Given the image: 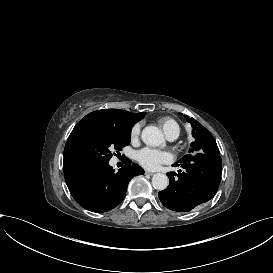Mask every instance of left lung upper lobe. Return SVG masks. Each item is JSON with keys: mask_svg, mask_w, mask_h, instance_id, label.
<instances>
[{"mask_svg": "<svg viewBox=\"0 0 273 273\" xmlns=\"http://www.w3.org/2000/svg\"><path fill=\"white\" fill-rule=\"evenodd\" d=\"M187 121L192 125V135L195 141L191 143V153L185 155L182 159L197 153L219 155V149L212 134L194 118L187 116Z\"/></svg>", "mask_w": 273, "mask_h": 273, "instance_id": "1", "label": "left lung upper lobe"}]
</instances>
